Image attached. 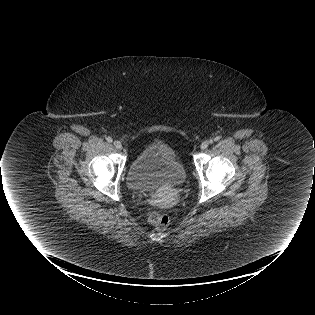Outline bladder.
<instances>
[{
    "label": "bladder",
    "instance_id": "31cf9c89",
    "mask_svg": "<svg viewBox=\"0 0 315 315\" xmlns=\"http://www.w3.org/2000/svg\"><path fill=\"white\" fill-rule=\"evenodd\" d=\"M186 178V170L174 149L161 141L146 146L133 159L127 172V183L133 190L182 185Z\"/></svg>",
    "mask_w": 315,
    "mask_h": 315
}]
</instances>
